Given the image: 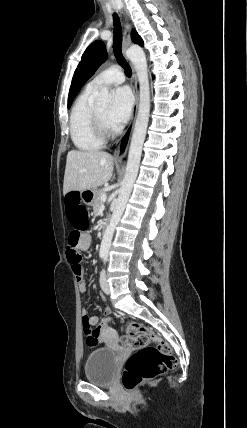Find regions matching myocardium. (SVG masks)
I'll list each match as a JSON object with an SVG mask.
<instances>
[{"mask_svg": "<svg viewBox=\"0 0 247 428\" xmlns=\"http://www.w3.org/2000/svg\"><path fill=\"white\" fill-rule=\"evenodd\" d=\"M92 126L97 136L103 141L112 135L110 128L102 122L96 108L92 111Z\"/></svg>", "mask_w": 247, "mask_h": 428, "instance_id": "obj_1", "label": "myocardium"}]
</instances>
